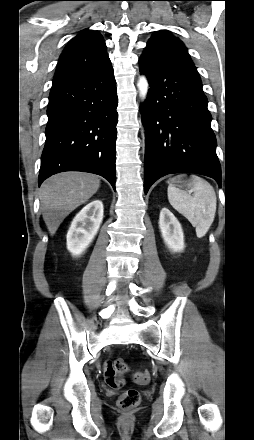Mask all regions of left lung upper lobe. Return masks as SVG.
Masks as SVG:
<instances>
[{
	"instance_id": "obj_1",
	"label": "left lung upper lobe",
	"mask_w": 254,
	"mask_h": 440,
	"mask_svg": "<svg viewBox=\"0 0 254 440\" xmlns=\"http://www.w3.org/2000/svg\"><path fill=\"white\" fill-rule=\"evenodd\" d=\"M143 55H155L175 63L189 65L196 70L187 48L167 30L157 31L151 36Z\"/></svg>"
}]
</instances>
